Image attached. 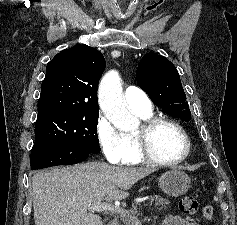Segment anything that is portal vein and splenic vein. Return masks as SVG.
<instances>
[{
  "label": "portal vein and splenic vein",
  "instance_id": "18ae733b",
  "mask_svg": "<svg viewBox=\"0 0 237 225\" xmlns=\"http://www.w3.org/2000/svg\"><path fill=\"white\" fill-rule=\"evenodd\" d=\"M89 209L90 210H95L97 212H101V211H110V212H116V213L127 212V211H124L120 207L114 206V205L109 204V203H102V202L89 204Z\"/></svg>",
  "mask_w": 237,
  "mask_h": 225
}]
</instances>
